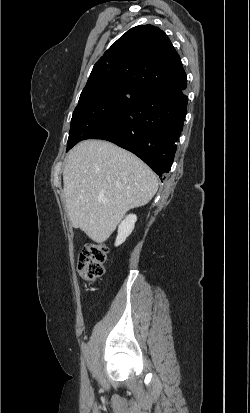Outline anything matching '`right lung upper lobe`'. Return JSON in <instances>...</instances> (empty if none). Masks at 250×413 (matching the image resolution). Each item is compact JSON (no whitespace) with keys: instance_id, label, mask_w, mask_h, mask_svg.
<instances>
[{"instance_id":"1","label":"right lung upper lobe","mask_w":250,"mask_h":413,"mask_svg":"<svg viewBox=\"0 0 250 413\" xmlns=\"http://www.w3.org/2000/svg\"><path fill=\"white\" fill-rule=\"evenodd\" d=\"M185 82L181 59L169 38L158 27L148 24L131 28L104 53L94 65L85 88L124 85L143 93Z\"/></svg>"}]
</instances>
